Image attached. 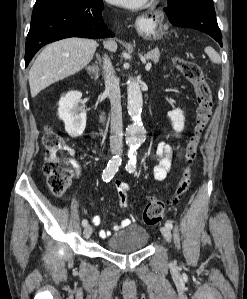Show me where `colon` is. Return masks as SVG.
<instances>
[{
  "label": "colon",
  "mask_w": 247,
  "mask_h": 299,
  "mask_svg": "<svg viewBox=\"0 0 247 299\" xmlns=\"http://www.w3.org/2000/svg\"><path fill=\"white\" fill-rule=\"evenodd\" d=\"M174 64L193 86L197 101L196 117L185 150V159L190 165L196 158L202 135L210 120L213 97L198 64L182 57H175ZM43 145L45 147L43 171L47 186L55 196H61L69 187L72 178L70 163L72 148L60 134L49 127L43 136ZM190 184L191 169L187 166L172 196L166 199H153L146 205L142 213L143 223L149 226L159 223L166 208L177 204L188 191Z\"/></svg>",
  "instance_id": "colon-1"
}]
</instances>
